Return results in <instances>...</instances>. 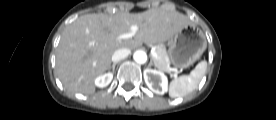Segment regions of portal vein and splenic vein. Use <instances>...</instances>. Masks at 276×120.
<instances>
[{
    "label": "portal vein and splenic vein",
    "instance_id": "18ae733b",
    "mask_svg": "<svg viewBox=\"0 0 276 120\" xmlns=\"http://www.w3.org/2000/svg\"><path fill=\"white\" fill-rule=\"evenodd\" d=\"M138 31V27L136 25H133L131 26V32L129 33H125V34H122L118 37L119 40L121 39H129V38H132ZM152 57L153 58H156L157 57V54L156 52H152ZM166 72H175V73H178V71L174 68H167Z\"/></svg>",
    "mask_w": 276,
    "mask_h": 120
}]
</instances>
